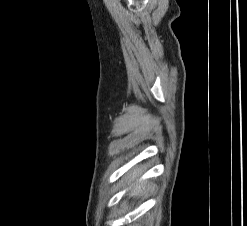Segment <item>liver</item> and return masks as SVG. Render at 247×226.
Listing matches in <instances>:
<instances>
[{
    "label": "liver",
    "mask_w": 247,
    "mask_h": 226,
    "mask_svg": "<svg viewBox=\"0 0 247 226\" xmlns=\"http://www.w3.org/2000/svg\"><path fill=\"white\" fill-rule=\"evenodd\" d=\"M136 176H137V173H136V171H134L132 180H133L134 177H136ZM142 189H144V185H143V184H139V185L136 186V188L131 192V195L134 196V195L140 193V192L142 191Z\"/></svg>",
    "instance_id": "6515ba94"
}]
</instances>
